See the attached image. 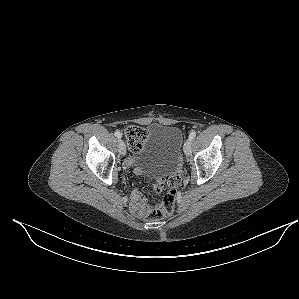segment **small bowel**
Here are the masks:
<instances>
[{"mask_svg": "<svg viewBox=\"0 0 299 299\" xmlns=\"http://www.w3.org/2000/svg\"><path fill=\"white\" fill-rule=\"evenodd\" d=\"M133 162H134L133 159H129L126 162V166L132 165ZM136 173L140 174L141 171L136 170ZM131 210L133 211V213H135L138 216H145L150 211V206L146 202V199L142 196L140 191H138L137 189H135L131 195Z\"/></svg>", "mask_w": 299, "mask_h": 299, "instance_id": "1", "label": "small bowel"}]
</instances>
